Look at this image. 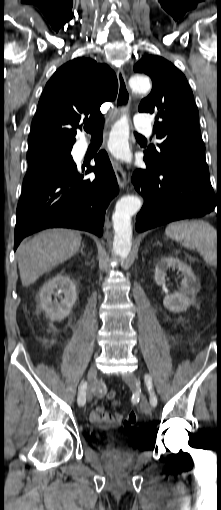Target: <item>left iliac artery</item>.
<instances>
[{
  "instance_id": "1",
  "label": "left iliac artery",
  "mask_w": 221,
  "mask_h": 510,
  "mask_svg": "<svg viewBox=\"0 0 221 510\" xmlns=\"http://www.w3.org/2000/svg\"><path fill=\"white\" fill-rule=\"evenodd\" d=\"M144 380H145V384L150 392V404L152 405V407H155L157 405V397L154 393V391L152 390V378L150 375L146 374L145 377H144Z\"/></svg>"
}]
</instances>
